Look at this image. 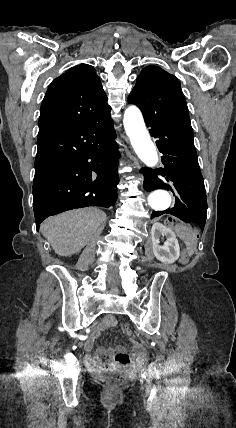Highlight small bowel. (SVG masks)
Listing matches in <instances>:
<instances>
[{"mask_svg": "<svg viewBox=\"0 0 236 428\" xmlns=\"http://www.w3.org/2000/svg\"><path fill=\"white\" fill-rule=\"evenodd\" d=\"M116 324L117 320L114 317H106L85 341V349H92L95 340L100 336L101 332L105 329L114 327ZM104 358L108 359V365L110 367L133 369L145 361L146 352L145 349L137 342H133L132 353H129L122 347L117 348L116 351L110 348L100 347L96 350L94 358L87 359L86 362L93 371H101L104 366Z\"/></svg>", "mask_w": 236, "mask_h": 428, "instance_id": "1", "label": "small bowel"}]
</instances>
